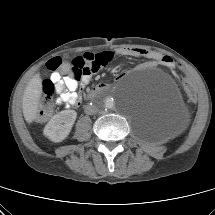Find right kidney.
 <instances>
[{
    "mask_svg": "<svg viewBox=\"0 0 215 215\" xmlns=\"http://www.w3.org/2000/svg\"><path fill=\"white\" fill-rule=\"evenodd\" d=\"M74 110H63L54 115L44 128V135L53 142L63 141L70 133L76 120Z\"/></svg>",
    "mask_w": 215,
    "mask_h": 215,
    "instance_id": "1",
    "label": "right kidney"
}]
</instances>
